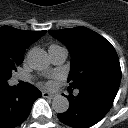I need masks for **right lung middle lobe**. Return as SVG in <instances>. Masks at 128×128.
<instances>
[{"label": "right lung middle lobe", "instance_id": "right-lung-middle-lobe-1", "mask_svg": "<svg viewBox=\"0 0 128 128\" xmlns=\"http://www.w3.org/2000/svg\"><path fill=\"white\" fill-rule=\"evenodd\" d=\"M21 61H13L7 57L0 56V85L6 84L11 78L12 72L21 64Z\"/></svg>", "mask_w": 128, "mask_h": 128}]
</instances>
